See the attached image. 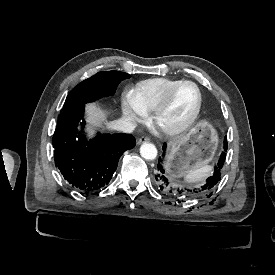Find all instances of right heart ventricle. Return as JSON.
Instances as JSON below:
<instances>
[{
	"instance_id": "1",
	"label": "right heart ventricle",
	"mask_w": 275,
	"mask_h": 275,
	"mask_svg": "<svg viewBox=\"0 0 275 275\" xmlns=\"http://www.w3.org/2000/svg\"><path fill=\"white\" fill-rule=\"evenodd\" d=\"M177 81L165 77L143 81L133 90V98L144 111L152 112L159 105L167 90Z\"/></svg>"
}]
</instances>
